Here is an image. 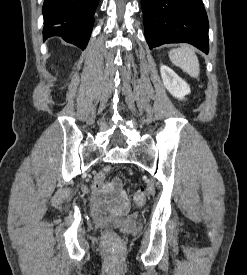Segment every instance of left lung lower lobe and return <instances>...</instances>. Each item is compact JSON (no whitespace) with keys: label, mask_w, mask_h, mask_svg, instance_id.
Instances as JSON below:
<instances>
[{"label":"left lung lower lobe","mask_w":247,"mask_h":275,"mask_svg":"<svg viewBox=\"0 0 247 275\" xmlns=\"http://www.w3.org/2000/svg\"><path fill=\"white\" fill-rule=\"evenodd\" d=\"M150 49L186 42L208 53V18L202 0H141Z\"/></svg>","instance_id":"0a47b994"}]
</instances>
